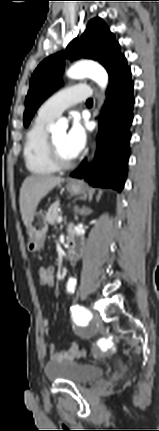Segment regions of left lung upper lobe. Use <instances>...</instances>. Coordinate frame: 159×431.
I'll return each instance as SVG.
<instances>
[{
  "instance_id": "obj_1",
  "label": "left lung upper lobe",
  "mask_w": 159,
  "mask_h": 431,
  "mask_svg": "<svg viewBox=\"0 0 159 431\" xmlns=\"http://www.w3.org/2000/svg\"><path fill=\"white\" fill-rule=\"evenodd\" d=\"M120 46L115 36L110 33L100 18L92 19L81 39L75 38L64 52L47 57L34 71L30 80V89L25 101L24 125L27 127L41 103L52 94L59 85L67 58H89L99 61L109 73V80L125 65V56L120 53Z\"/></svg>"
}]
</instances>
